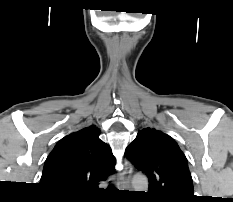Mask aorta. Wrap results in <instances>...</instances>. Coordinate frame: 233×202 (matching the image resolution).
<instances>
[{
  "label": "aorta",
  "instance_id": "1",
  "mask_svg": "<svg viewBox=\"0 0 233 202\" xmlns=\"http://www.w3.org/2000/svg\"><path fill=\"white\" fill-rule=\"evenodd\" d=\"M133 186L138 190H146L148 188V181L143 176H136L133 179Z\"/></svg>",
  "mask_w": 233,
  "mask_h": 202
}]
</instances>
